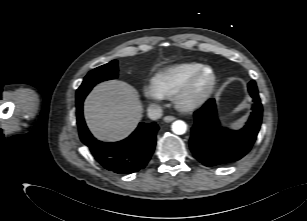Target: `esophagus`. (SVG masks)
I'll return each instance as SVG.
<instances>
[{
  "label": "esophagus",
  "mask_w": 307,
  "mask_h": 221,
  "mask_svg": "<svg viewBox=\"0 0 307 221\" xmlns=\"http://www.w3.org/2000/svg\"><path fill=\"white\" fill-rule=\"evenodd\" d=\"M175 119H176V118H175L174 116H169V115H168V116H165L163 120H164L165 122L169 123V122L174 121Z\"/></svg>",
  "instance_id": "34e87169"
}]
</instances>
